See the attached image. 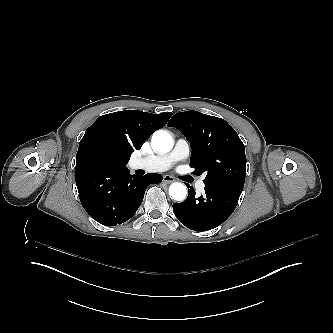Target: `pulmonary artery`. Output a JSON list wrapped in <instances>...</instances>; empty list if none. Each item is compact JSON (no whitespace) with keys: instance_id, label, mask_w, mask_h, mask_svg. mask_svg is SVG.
Here are the masks:
<instances>
[{"instance_id":"e3ab8cb5","label":"pulmonary artery","mask_w":333,"mask_h":333,"mask_svg":"<svg viewBox=\"0 0 333 333\" xmlns=\"http://www.w3.org/2000/svg\"><path fill=\"white\" fill-rule=\"evenodd\" d=\"M190 155V146L186 139L179 138L174 148L171 151H167L165 155H156L154 158L150 157L145 160L143 167L145 170H160L162 172H165L168 170V168H171L173 165H175L177 162L185 160ZM205 178V175H202L199 179V182L196 184L198 187L203 185V179ZM165 191H168L167 188H164Z\"/></svg>"}]
</instances>
